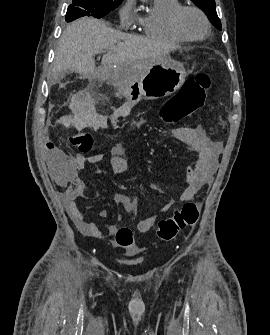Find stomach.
Listing matches in <instances>:
<instances>
[{"label": "stomach", "mask_w": 270, "mask_h": 335, "mask_svg": "<svg viewBox=\"0 0 270 335\" xmlns=\"http://www.w3.org/2000/svg\"><path fill=\"white\" fill-rule=\"evenodd\" d=\"M119 72L126 70H118L117 74ZM131 75L132 80L130 78L121 80L120 88L127 104L136 106L141 100H157L174 94L183 86L187 72L184 64L175 62L167 56H160L149 60L140 76L136 70H133Z\"/></svg>", "instance_id": "obj_1"}]
</instances>
